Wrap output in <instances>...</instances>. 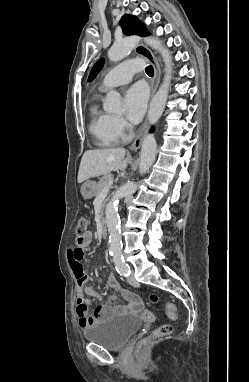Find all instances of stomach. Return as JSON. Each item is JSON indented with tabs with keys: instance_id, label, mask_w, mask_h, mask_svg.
Wrapping results in <instances>:
<instances>
[{
	"instance_id": "obj_1",
	"label": "stomach",
	"mask_w": 249,
	"mask_h": 382,
	"mask_svg": "<svg viewBox=\"0 0 249 382\" xmlns=\"http://www.w3.org/2000/svg\"><path fill=\"white\" fill-rule=\"evenodd\" d=\"M97 184L95 181H86L81 186V194L84 199H91L94 195H96Z\"/></svg>"
}]
</instances>
